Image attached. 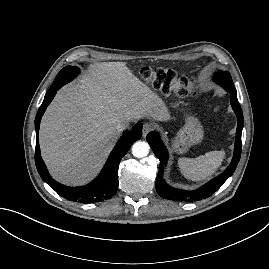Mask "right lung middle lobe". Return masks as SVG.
Wrapping results in <instances>:
<instances>
[{"mask_svg": "<svg viewBox=\"0 0 269 269\" xmlns=\"http://www.w3.org/2000/svg\"><path fill=\"white\" fill-rule=\"evenodd\" d=\"M79 73V68L76 66L64 67L56 76L54 83H62L63 85L73 80ZM52 84V85H53Z\"/></svg>", "mask_w": 269, "mask_h": 269, "instance_id": "right-lung-middle-lobe-1", "label": "right lung middle lobe"}]
</instances>
